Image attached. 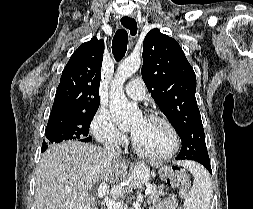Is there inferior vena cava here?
<instances>
[{
    "label": "inferior vena cava",
    "mask_w": 253,
    "mask_h": 209,
    "mask_svg": "<svg viewBox=\"0 0 253 209\" xmlns=\"http://www.w3.org/2000/svg\"><path fill=\"white\" fill-rule=\"evenodd\" d=\"M104 149L110 159L121 160V148L117 143V138H108L105 141Z\"/></svg>",
    "instance_id": "inferior-vena-cava-1"
}]
</instances>
